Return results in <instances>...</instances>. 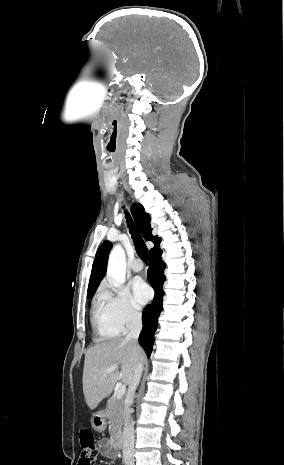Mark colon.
I'll list each match as a JSON object with an SVG mask.
<instances>
[{
  "label": "colon",
  "mask_w": 284,
  "mask_h": 465,
  "mask_svg": "<svg viewBox=\"0 0 284 465\" xmlns=\"http://www.w3.org/2000/svg\"><path fill=\"white\" fill-rule=\"evenodd\" d=\"M79 441L81 446L79 465H93L96 441L92 432L88 429H81L79 432Z\"/></svg>",
  "instance_id": "colon-1"
}]
</instances>
